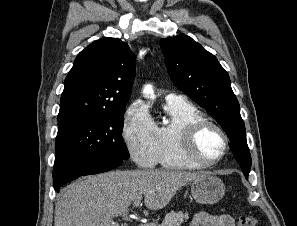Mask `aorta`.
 <instances>
[{"label": "aorta", "mask_w": 297, "mask_h": 226, "mask_svg": "<svg viewBox=\"0 0 297 226\" xmlns=\"http://www.w3.org/2000/svg\"><path fill=\"white\" fill-rule=\"evenodd\" d=\"M153 93H154V91H153V88H152L151 85H146V86L144 87V89H143V94H144L145 96L152 95Z\"/></svg>", "instance_id": "aorta-1"}]
</instances>
